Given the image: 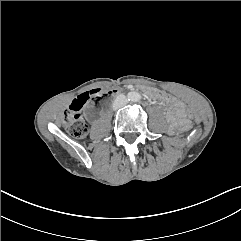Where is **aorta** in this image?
I'll list each match as a JSON object with an SVG mask.
<instances>
[{"label":"aorta","instance_id":"1","mask_svg":"<svg viewBox=\"0 0 241 241\" xmlns=\"http://www.w3.org/2000/svg\"><path fill=\"white\" fill-rule=\"evenodd\" d=\"M130 100L133 102H137L140 100L141 96L138 92H132L129 96Z\"/></svg>","mask_w":241,"mask_h":241}]
</instances>
